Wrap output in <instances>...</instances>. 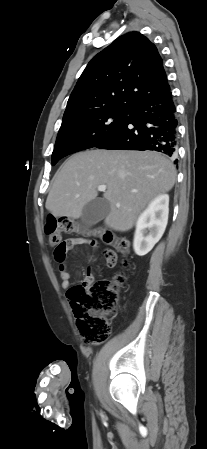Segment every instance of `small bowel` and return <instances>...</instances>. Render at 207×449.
Wrapping results in <instances>:
<instances>
[{"label":"small bowel","instance_id":"c3829d8e","mask_svg":"<svg viewBox=\"0 0 207 449\" xmlns=\"http://www.w3.org/2000/svg\"><path fill=\"white\" fill-rule=\"evenodd\" d=\"M85 241L83 240V239H80V238H78V239H73V243L75 244V245H77V244H82V243H84ZM113 253V257H114V260H115V263H116V255H115V253L114 252H112ZM114 263V264H115ZM107 266H109V265H107ZM114 266V265H113ZM109 267H112V266H109ZM59 272H60V278H61V281H62V287L64 288V289H67L69 286H70V284H71V281H70V273H69V271L67 270V268H66V266L65 265H60V267H59ZM93 279V272L89 269L88 271H87V275H86V277H85V280L86 281H91Z\"/></svg>","mask_w":207,"mask_h":449}]
</instances>
